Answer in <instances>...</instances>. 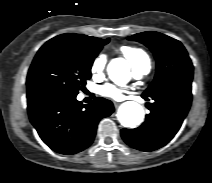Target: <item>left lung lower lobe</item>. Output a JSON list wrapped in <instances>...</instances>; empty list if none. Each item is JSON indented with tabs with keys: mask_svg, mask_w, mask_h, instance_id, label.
Returning <instances> with one entry per match:
<instances>
[{
	"mask_svg": "<svg viewBox=\"0 0 212 183\" xmlns=\"http://www.w3.org/2000/svg\"><path fill=\"white\" fill-rule=\"evenodd\" d=\"M142 97L154 100L148 104L150 113L138 128L122 129L121 136L135 149L153 151L166 145L178 132L191 106V85L166 88Z\"/></svg>",
	"mask_w": 212,
	"mask_h": 183,
	"instance_id": "left-lung-lower-lobe-1",
	"label": "left lung lower lobe"
}]
</instances>
